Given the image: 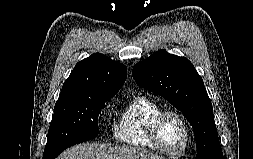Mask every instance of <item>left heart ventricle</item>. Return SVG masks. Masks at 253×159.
Listing matches in <instances>:
<instances>
[{
    "mask_svg": "<svg viewBox=\"0 0 253 159\" xmlns=\"http://www.w3.org/2000/svg\"><path fill=\"white\" fill-rule=\"evenodd\" d=\"M159 139L168 151L176 152L181 149L185 140V131L178 118L173 115L163 118L159 127Z\"/></svg>",
    "mask_w": 253,
    "mask_h": 159,
    "instance_id": "b2bd125f",
    "label": "left heart ventricle"
}]
</instances>
